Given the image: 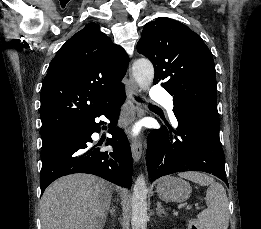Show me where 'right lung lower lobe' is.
Instances as JSON below:
<instances>
[{
  "label": "right lung lower lobe",
  "instance_id": "obj_1",
  "mask_svg": "<svg viewBox=\"0 0 261 229\" xmlns=\"http://www.w3.org/2000/svg\"><path fill=\"white\" fill-rule=\"evenodd\" d=\"M125 99V92L117 94L89 123L42 147L41 194L57 178L73 173L94 174L119 186L131 187V149L124 131L116 127L119 108ZM101 115L111 121L108 132L112 138L106 142L113 147L111 151L103 152L90 144L92 133L100 132L95 118Z\"/></svg>",
  "mask_w": 261,
  "mask_h": 229
}]
</instances>
